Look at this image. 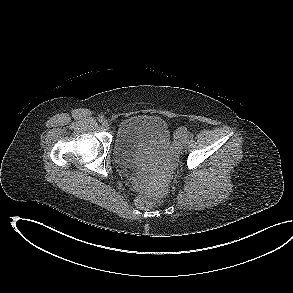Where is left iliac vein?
<instances>
[{"instance_id": "4c4485c4", "label": "left iliac vein", "mask_w": 293, "mask_h": 293, "mask_svg": "<svg viewBox=\"0 0 293 293\" xmlns=\"http://www.w3.org/2000/svg\"><path fill=\"white\" fill-rule=\"evenodd\" d=\"M188 142H189L188 137H185V138L182 140V144H183V146H186V145L188 144Z\"/></svg>"}]
</instances>
